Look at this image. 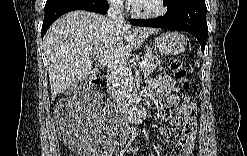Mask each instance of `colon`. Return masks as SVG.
<instances>
[{
	"instance_id": "obj_1",
	"label": "colon",
	"mask_w": 247,
	"mask_h": 156,
	"mask_svg": "<svg viewBox=\"0 0 247 156\" xmlns=\"http://www.w3.org/2000/svg\"><path fill=\"white\" fill-rule=\"evenodd\" d=\"M171 71L174 74L176 80L181 84L182 89L188 90L190 88V82L185 67L179 60H174L171 63ZM100 83V79L95 77L88 80L84 86L85 90L91 89Z\"/></svg>"
}]
</instances>
